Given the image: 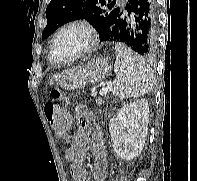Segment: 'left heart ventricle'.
<instances>
[{
    "label": "left heart ventricle",
    "instance_id": "obj_1",
    "mask_svg": "<svg viewBox=\"0 0 197 181\" xmlns=\"http://www.w3.org/2000/svg\"><path fill=\"white\" fill-rule=\"evenodd\" d=\"M88 41L87 33L80 28L64 31L56 44V56L59 60H67L80 52Z\"/></svg>",
    "mask_w": 197,
    "mask_h": 181
}]
</instances>
